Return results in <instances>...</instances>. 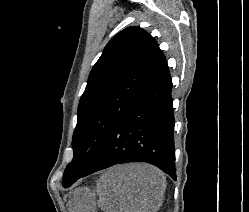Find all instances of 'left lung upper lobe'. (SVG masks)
<instances>
[{
	"label": "left lung upper lobe",
	"mask_w": 249,
	"mask_h": 212,
	"mask_svg": "<svg viewBox=\"0 0 249 212\" xmlns=\"http://www.w3.org/2000/svg\"><path fill=\"white\" fill-rule=\"evenodd\" d=\"M153 37L140 27L115 35L91 70L78 106V121L63 186H71L91 166L114 125L165 62Z\"/></svg>",
	"instance_id": "left-lung-upper-lobe-1"
}]
</instances>
